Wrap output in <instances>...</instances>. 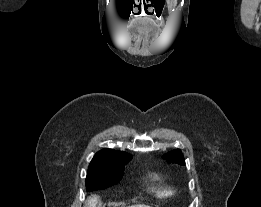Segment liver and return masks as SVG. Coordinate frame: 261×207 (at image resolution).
<instances>
[{"label":"liver","mask_w":261,"mask_h":207,"mask_svg":"<svg viewBox=\"0 0 261 207\" xmlns=\"http://www.w3.org/2000/svg\"><path fill=\"white\" fill-rule=\"evenodd\" d=\"M98 202H99V197L97 195H92L88 197L85 207H97ZM129 207H150V206L144 204H138Z\"/></svg>","instance_id":"6515ba94"}]
</instances>
